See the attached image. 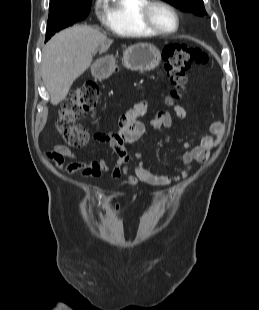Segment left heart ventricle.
<instances>
[{
  "mask_svg": "<svg viewBox=\"0 0 259 310\" xmlns=\"http://www.w3.org/2000/svg\"><path fill=\"white\" fill-rule=\"evenodd\" d=\"M153 22L164 30H172L176 25L174 15L166 8L156 6L151 11Z\"/></svg>",
  "mask_w": 259,
  "mask_h": 310,
  "instance_id": "left-heart-ventricle-1",
  "label": "left heart ventricle"
}]
</instances>
